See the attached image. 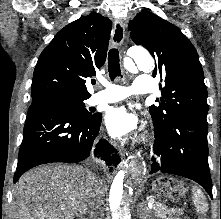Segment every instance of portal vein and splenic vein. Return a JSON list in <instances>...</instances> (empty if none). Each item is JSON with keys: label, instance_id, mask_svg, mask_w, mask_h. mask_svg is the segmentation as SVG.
I'll return each mask as SVG.
<instances>
[{"label": "portal vein and splenic vein", "instance_id": "18ae733b", "mask_svg": "<svg viewBox=\"0 0 221 219\" xmlns=\"http://www.w3.org/2000/svg\"><path fill=\"white\" fill-rule=\"evenodd\" d=\"M154 207V205L151 203L149 204V209H152Z\"/></svg>", "mask_w": 221, "mask_h": 219}]
</instances>
